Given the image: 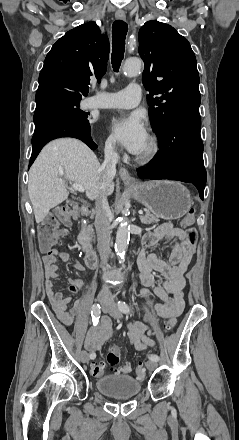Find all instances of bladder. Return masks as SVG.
<instances>
[{
	"instance_id": "bladder-1",
	"label": "bladder",
	"mask_w": 239,
	"mask_h": 440,
	"mask_svg": "<svg viewBox=\"0 0 239 440\" xmlns=\"http://www.w3.org/2000/svg\"><path fill=\"white\" fill-rule=\"evenodd\" d=\"M96 389L111 398H131L141 391V383L129 375H109L95 381Z\"/></svg>"
}]
</instances>
